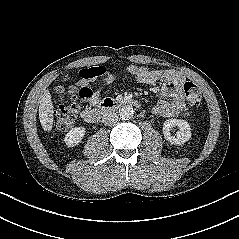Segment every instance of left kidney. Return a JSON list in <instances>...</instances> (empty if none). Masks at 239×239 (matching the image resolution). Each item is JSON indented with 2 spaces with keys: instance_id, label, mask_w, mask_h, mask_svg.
Here are the masks:
<instances>
[{
  "instance_id": "left-kidney-1",
  "label": "left kidney",
  "mask_w": 239,
  "mask_h": 239,
  "mask_svg": "<svg viewBox=\"0 0 239 239\" xmlns=\"http://www.w3.org/2000/svg\"><path fill=\"white\" fill-rule=\"evenodd\" d=\"M176 126L179 128V131L175 135H171V129ZM163 134L164 138L171 144H184L191 138L190 124L183 119H168L164 122Z\"/></svg>"
}]
</instances>
